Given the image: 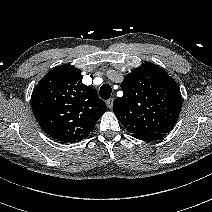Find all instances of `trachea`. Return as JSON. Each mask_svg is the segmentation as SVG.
Here are the masks:
<instances>
[{
    "instance_id": "1",
    "label": "trachea",
    "mask_w": 212,
    "mask_h": 212,
    "mask_svg": "<svg viewBox=\"0 0 212 212\" xmlns=\"http://www.w3.org/2000/svg\"><path fill=\"white\" fill-rule=\"evenodd\" d=\"M111 93H112V89L110 85L104 84L101 86L99 94L102 99L104 100L109 99L111 96Z\"/></svg>"
}]
</instances>
